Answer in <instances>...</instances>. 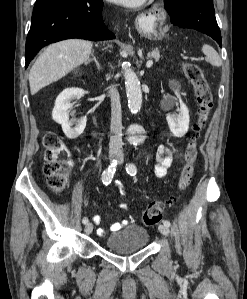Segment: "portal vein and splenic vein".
Listing matches in <instances>:
<instances>
[{"label":"portal vein and splenic vein","instance_id":"1","mask_svg":"<svg viewBox=\"0 0 247 299\" xmlns=\"http://www.w3.org/2000/svg\"><path fill=\"white\" fill-rule=\"evenodd\" d=\"M153 65V60H148L146 63L147 68H150Z\"/></svg>","mask_w":247,"mask_h":299}]
</instances>
